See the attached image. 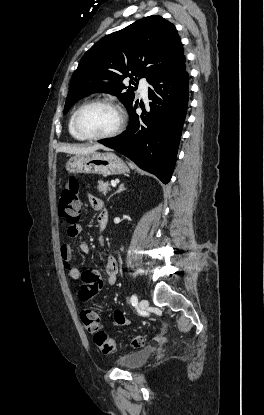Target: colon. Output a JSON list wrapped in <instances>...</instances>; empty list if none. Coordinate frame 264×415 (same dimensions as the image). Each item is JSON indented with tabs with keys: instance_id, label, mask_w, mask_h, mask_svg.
<instances>
[{
	"instance_id": "obj_1",
	"label": "colon",
	"mask_w": 264,
	"mask_h": 415,
	"mask_svg": "<svg viewBox=\"0 0 264 415\" xmlns=\"http://www.w3.org/2000/svg\"><path fill=\"white\" fill-rule=\"evenodd\" d=\"M81 212V202L79 199V179L72 176L65 184L61 194L59 204V215L64 224L65 233L68 236H74L77 233V223ZM82 285L76 290V299L78 303L88 302L95 292L101 287L102 279L97 271L89 270L81 276ZM84 326L87 331L94 333V339L99 349L107 355L116 352L115 341L103 330L100 329V319L95 310L85 309L82 311ZM144 339L136 337L132 341L135 348L142 347Z\"/></svg>"
}]
</instances>
